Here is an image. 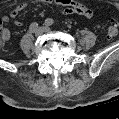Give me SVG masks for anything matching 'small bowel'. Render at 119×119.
<instances>
[{"label":"small bowel","instance_id":"c3829d8e","mask_svg":"<svg viewBox=\"0 0 119 119\" xmlns=\"http://www.w3.org/2000/svg\"><path fill=\"white\" fill-rule=\"evenodd\" d=\"M44 2L63 7V12L67 15L78 14V15L85 16L86 18H91L93 16V11L90 8H88L84 4L74 1V0H45ZM25 6L26 5L24 3L16 5L10 11L9 16L3 17V20L8 21L9 18L14 19L15 24L17 26H20L21 22L16 20V18L19 15V13L25 8ZM3 37L5 39H7L9 37L8 30H6V29L3 30Z\"/></svg>","mask_w":119,"mask_h":119}]
</instances>
